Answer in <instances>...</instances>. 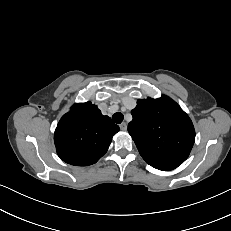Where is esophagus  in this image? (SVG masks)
<instances>
[{
  "mask_svg": "<svg viewBox=\"0 0 231 231\" xmlns=\"http://www.w3.org/2000/svg\"><path fill=\"white\" fill-rule=\"evenodd\" d=\"M120 129H121L122 131H126V130H127V124H126L125 122L121 123V124H120Z\"/></svg>",
  "mask_w": 231,
  "mask_h": 231,
  "instance_id": "esophagus-1",
  "label": "esophagus"
}]
</instances>
